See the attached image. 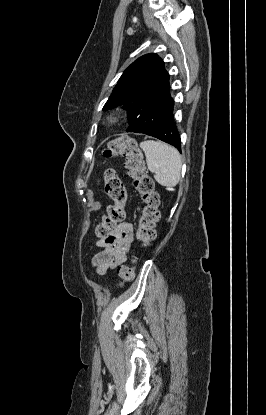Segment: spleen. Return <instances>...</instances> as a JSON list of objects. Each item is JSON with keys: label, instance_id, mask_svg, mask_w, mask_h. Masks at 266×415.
Wrapping results in <instances>:
<instances>
[{"label": "spleen", "instance_id": "spleen-1", "mask_svg": "<svg viewBox=\"0 0 266 415\" xmlns=\"http://www.w3.org/2000/svg\"><path fill=\"white\" fill-rule=\"evenodd\" d=\"M146 156L148 169L154 174V179L164 187H174L181 177V156L172 146L147 140L140 143Z\"/></svg>", "mask_w": 266, "mask_h": 415}]
</instances>
